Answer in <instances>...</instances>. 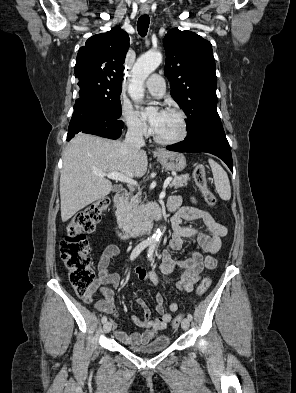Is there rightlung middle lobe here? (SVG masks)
<instances>
[{
  "mask_svg": "<svg viewBox=\"0 0 296 393\" xmlns=\"http://www.w3.org/2000/svg\"><path fill=\"white\" fill-rule=\"evenodd\" d=\"M79 87V97L107 110L115 118L121 117L120 89L112 88L95 79L81 80Z\"/></svg>",
  "mask_w": 296,
  "mask_h": 393,
  "instance_id": "1",
  "label": "right lung middle lobe"
}]
</instances>
